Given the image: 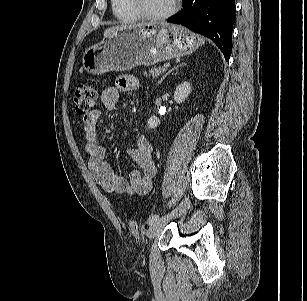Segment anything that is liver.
I'll return each instance as SVG.
<instances>
[{
	"mask_svg": "<svg viewBox=\"0 0 307 301\" xmlns=\"http://www.w3.org/2000/svg\"><path fill=\"white\" fill-rule=\"evenodd\" d=\"M142 25L143 24H135V25H131V26L123 25V26L111 27V28H108V29L105 30L104 36L108 35L110 32H112L116 29H121V28H125V27H137V26H142Z\"/></svg>",
	"mask_w": 307,
	"mask_h": 301,
	"instance_id": "obj_1",
	"label": "liver"
}]
</instances>
